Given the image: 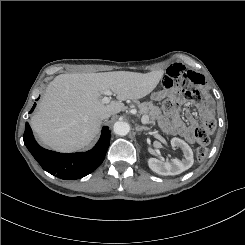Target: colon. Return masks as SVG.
<instances>
[{
    "label": "colon",
    "instance_id": "colon-1",
    "mask_svg": "<svg viewBox=\"0 0 245 245\" xmlns=\"http://www.w3.org/2000/svg\"><path fill=\"white\" fill-rule=\"evenodd\" d=\"M162 108L165 112L171 114L178 108V101L173 97H166L162 101ZM215 127V121L212 118H206L194 132V138L199 145L196 151V157L200 162L207 156L206 146L210 142V136L214 132Z\"/></svg>",
    "mask_w": 245,
    "mask_h": 245
}]
</instances>
